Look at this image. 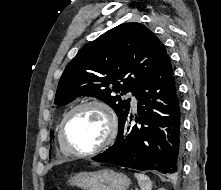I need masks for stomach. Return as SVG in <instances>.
<instances>
[{"instance_id": "obj_1", "label": "stomach", "mask_w": 221, "mask_h": 190, "mask_svg": "<svg viewBox=\"0 0 221 190\" xmlns=\"http://www.w3.org/2000/svg\"><path fill=\"white\" fill-rule=\"evenodd\" d=\"M68 183L83 190H127L131 181L123 173L104 169L77 173Z\"/></svg>"}]
</instances>
